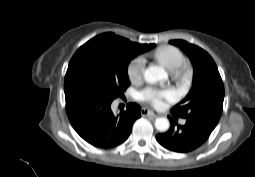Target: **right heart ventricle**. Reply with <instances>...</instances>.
Here are the masks:
<instances>
[{
	"label": "right heart ventricle",
	"mask_w": 255,
	"mask_h": 177,
	"mask_svg": "<svg viewBox=\"0 0 255 177\" xmlns=\"http://www.w3.org/2000/svg\"><path fill=\"white\" fill-rule=\"evenodd\" d=\"M153 56L171 73L185 62L183 52L178 47L172 45H163L158 47L153 52Z\"/></svg>",
	"instance_id": "obj_1"
}]
</instances>
